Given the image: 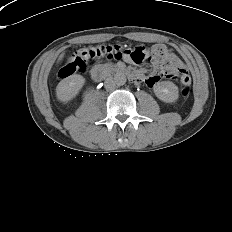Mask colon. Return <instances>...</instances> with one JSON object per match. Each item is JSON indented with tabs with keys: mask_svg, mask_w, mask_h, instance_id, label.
Instances as JSON below:
<instances>
[{
	"mask_svg": "<svg viewBox=\"0 0 232 232\" xmlns=\"http://www.w3.org/2000/svg\"><path fill=\"white\" fill-rule=\"evenodd\" d=\"M122 57L136 64L152 60L161 63L159 71L161 77L178 78L180 90L183 97L190 93L191 78L184 68H179L173 57L163 45H156L151 52L136 47L124 49L120 46H101L79 49L57 72L59 78H66L76 72H84L93 61L102 59H121Z\"/></svg>",
	"mask_w": 232,
	"mask_h": 232,
	"instance_id": "1",
	"label": "colon"
}]
</instances>
